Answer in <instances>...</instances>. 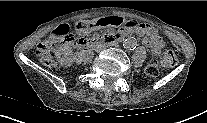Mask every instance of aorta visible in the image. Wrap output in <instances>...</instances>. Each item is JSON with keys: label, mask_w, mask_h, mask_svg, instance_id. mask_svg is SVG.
Wrapping results in <instances>:
<instances>
[{"label": "aorta", "mask_w": 207, "mask_h": 123, "mask_svg": "<svg viewBox=\"0 0 207 123\" xmlns=\"http://www.w3.org/2000/svg\"><path fill=\"white\" fill-rule=\"evenodd\" d=\"M136 45H137V41L136 38L134 37H128L123 41V46L129 50L134 49Z\"/></svg>", "instance_id": "obj_1"}]
</instances>
